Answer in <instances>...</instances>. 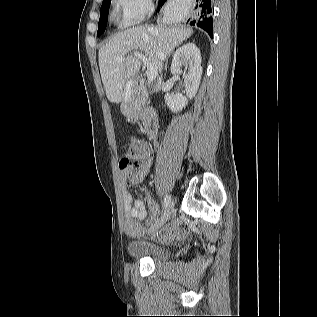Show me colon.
<instances>
[{
	"mask_svg": "<svg viewBox=\"0 0 317 317\" xmlns=\"http://www.w3.org/2000/svg\"><path fill=\"white\" fill-rule=\"evenodd\" d=\"M119 164L130 181H138L141 179L146 172V166L137 148V142L132 145L129 153L121 158Z\"/></svg>",
	"mask_w": 317,
	"mask_h": 317,
	"instance_id": "obj_1",
	"label": "colon"
}]
</instances>
